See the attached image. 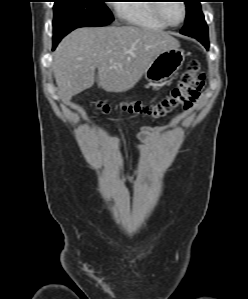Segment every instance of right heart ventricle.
Here are the masks:
<instances>
[{"instance_id": "right-heart-ventricle-1", "label": "right heart ventricle", "mask_w": 248, "mask_h": 299, "mask_svg": "<svg viewBox=\"0 0 248 299\" xmlns=\"http://www.w3.org/2000/svg\"><path fill=\"white\" fill-rule=\"evenodd\" d=\"M135 3H120L117 5L119 17L126 23L147 29L164 30L163 24L155 14V0L131 1Z\"/></svg>"}]
</instances>
